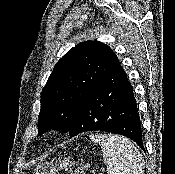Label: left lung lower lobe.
<instances>
[{"label": "left lung lower lobe", "mask_w": 175, "mask_h": 174, "mask_svg": "<svg viewBox=\"0 0 175 174\" xmlns=\"http://www.w3.org/2000/svg\"><path fill=\"white\" fill-rule=\"evenodd\" d=\"M96 130L126 136L145 151L133 87L120 64L82 97L68 132L71 138Z\"/></svg>", "instance_id": "0a47b994"}]
</instances>
